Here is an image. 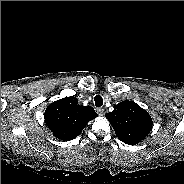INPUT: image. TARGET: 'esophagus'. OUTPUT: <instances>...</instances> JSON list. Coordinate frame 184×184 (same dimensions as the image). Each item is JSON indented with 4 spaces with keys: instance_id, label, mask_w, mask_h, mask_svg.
Masks as SVG:
<instances>
[{
    "instance_id": "obj_1",
    "label": "esophagus",
    "mask_w": 184,
    "mask_h": 184,
    "mask_svg": "<svg viewBox=\"0 0 184 184\" xmlns=\"http://www.w3.org/2000/svg\"><path fill=\"white\" fill-rule=\"evenodd\" d=\"M96 112H97L100 116H102V115L104 114V108L99 107V108L96 109Z\"/></svg>"
}]
</instances>
